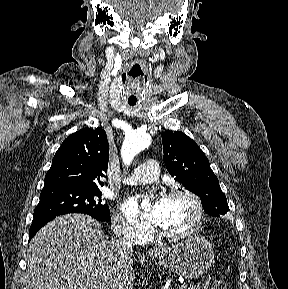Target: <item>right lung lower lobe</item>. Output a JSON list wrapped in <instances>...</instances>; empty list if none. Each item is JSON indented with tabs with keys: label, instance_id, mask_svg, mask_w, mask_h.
Segmentation results:
<instances>
[{
	"label": "right lung lower lobe",
	"instance_id": "obj_1",
	"mask_svg": "<svg viewBox=\"0 0 288 289\" xmlns=\"http://www.w3.org/2000/svg\"><path fill=\"white\" fill-rule=\"evenodd\" d=\"M56 216H49V217H36L33 219L32 225L30 227L29 230V240H31V238L36 234V232L42 227L44 226L47 222H49L50 220H52L53 218H55Z\"/></svg>",
	"mask_w": 288,
	"mask_h": 289
}]
</instances>
